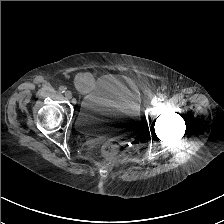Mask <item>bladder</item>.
<instances>
[{"label":"bladder","instance_id":"bladder-1","mask_svg":"<svg viewBox=\"0 0 224 224\" xmlns=\"http://www.w3.org/2000/svg\"><path fill=\"white\" fill-rule=\"evenodd\" d=\"M139 125L138 99L114 74L96 80L82 97L75 119L80 134L106 139H128Z\"/></svg>","mask_w":224,"mask_h":224}]
</instances>
